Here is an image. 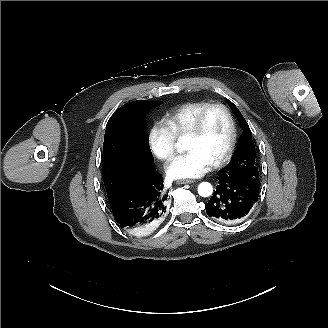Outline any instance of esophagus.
Instances as JSON below:
<instances>
[{
	"label": "esophagus",
	"instance_id": "1",
	"mask_svg": "<svg viewBox=\"0 0 328 328\" xmlns=\"http://www.w3.org/2000/svg\"><path fill=\"white\" fill-rule=\"evenodd\" d=\"M196 182V180L194 179H179L176 181V184L180 185V184H187V183H194Z\"/></svg>",
	"mask_w": 328,
	"mask_h": 328
}]
</instances>
